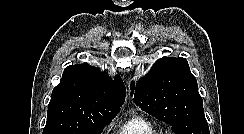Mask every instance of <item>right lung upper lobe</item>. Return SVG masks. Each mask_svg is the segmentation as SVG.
Segmentation results:
<instances>
[{"label": "right lung upper lobe", "instance_id": "1", "mask_svg": "<svg viewBox=\"0 0 244 134\" xmlns=\"http://www.w3.org/2000/svg\"><path fill=\"white\" fill-rule=\"evenodd\" d=\"M126 88L119 76L112 81L106 71L86 63L65 68L51 95L48 109L81 117L114 116L120 111Z\"/></svg>", "mask_w": 244, "mask_h": 134}]
</instances>
